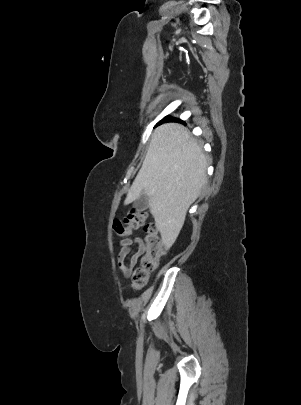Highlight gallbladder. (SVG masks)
<instances>
[{
    "label": "gallbladder",
    "mask_w": 301,
    "mask_h": 405,
    "mask_svg": "<svg viewBox=\"0 0 301 405\" xmlns=\"http://www.w3.org/2000/svg\"><path fill=\"white\" fill-rule=\"evenodd\" d=\"M149 207V197L143 193L140 197H138L134 203H133V208L138 211H144Z\"/></svg>",
    "instance_id": "1"
}]
</instances>
